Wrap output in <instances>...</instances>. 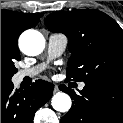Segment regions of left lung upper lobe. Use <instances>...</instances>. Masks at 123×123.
Returning a JSON list of instances; mask_svg holds the SVG:
<instances>
[{
  "label": "left lung upper lobe",
  "instance_id": "1",
  "mask_svg": "<svg viewBox=\"0 0 123 123\" xmlns=\"http://www.w3.org/2000/svg\"><path fill=\"white\" fill-rule=\"evenodd\" d=\"M45 25L68 38L67 80L123 83V30L107 14L92 9L52 13Z\"/></svg>",
  "mask_w": 123,
  "mask_h": 123
}]
</instances>
